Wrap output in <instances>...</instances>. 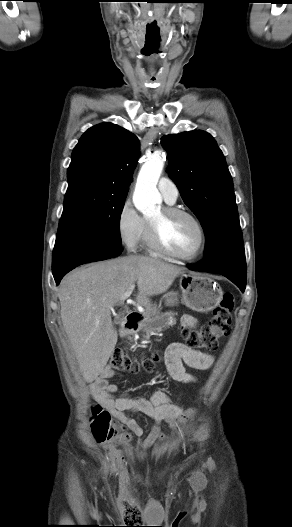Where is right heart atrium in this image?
<instances>
[{
  "label": "right heart atrium",
  "mask_w": 292,
  "mask_h": 527,
  "mask_svg": "<svg viewBox=\"0 0 292 527\" xmlns=\"http://www.w3.org/2000/svg\"><path fill=\"white\" fill-rule=\"evenodd\" d=\"M119 238L129 250L137 249L145 226L144 218L136 211L130 199L122 203L116 221Z\"/></svg>",
  "instance_id": "d8ad5b80"
}]
</instances>
